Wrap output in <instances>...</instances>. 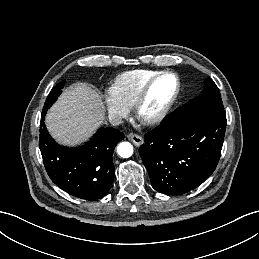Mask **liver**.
<instances>
[{
	"mask_svg": "<svg viewBox=\"0 0 259 259\" xmlns=\"http://www.w3.org/2000/svg\"><path fill=\"white\" fill-rule=\"evenodd\" d=\"M105 109L99 93L78 82L65 89L46 117L51 135L61 144L83 142L103 123Z\"/></svg>",
	"mask_w": 259,
	"mask_h": 259,
	"instance_id": "1",
	"label": "liver"
}]
</instances>
